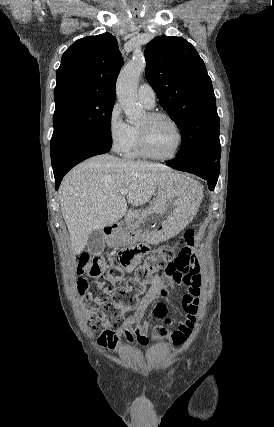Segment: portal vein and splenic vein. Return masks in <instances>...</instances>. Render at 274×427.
I'll return each instance as SVG.
<instances>
[{"label":"portal vein and splenic vein","instance_id":"1","mask_svg":"<svg viewBox=\"0 0 274 427\" xmlns=\"http://www.w3.org/2000/svg\"><path fill=\"white\" fill-rule=\"evenodd\" d=\"M121 196H127L128 190H120Z\"/></svg>","mask_w":274,"mask_h":427}]
</instances>
